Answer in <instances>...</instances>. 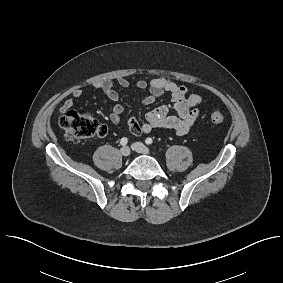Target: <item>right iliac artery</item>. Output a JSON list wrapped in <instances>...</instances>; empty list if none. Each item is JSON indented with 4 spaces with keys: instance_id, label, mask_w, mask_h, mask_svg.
<instances>
[{
    "instance_id": "right-iliac-artery-1",
    "label": "right iliac artery",
    "mask_w": 283,
    "mask_h": 283,
    "mask_svg": "<svg viewBox=\"0 0 283 283\" xmlns=\"http://www.w3.org/2000/svg\"><path fill=\"white\" fill-rule=\"evenodd\" d=\"M128 143V139L126 137H123L121 140H120V144L122 146H125L126 144Z\"/></svg>"
}]
</instances>
